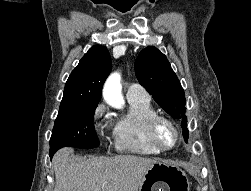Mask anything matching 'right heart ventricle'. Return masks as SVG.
Returning a JSON list of instances; mask_svg holds the SVG:
<instances>
[{"instance_id":"obj_1","label":"right heart ventricle","mask_w":251,"mask_h":191,"mask_svg":"<svg viewBox=\"0 0 251 191\" xmlns=\"http://www.w3.org/2000/svg\"><path fill=\"white\" fill-rule=\"evenodd\" d=\"M128 101V115L117 121L113 130L116 151L143 157L158 155L146 137V122L156 113L151 100L141 97Z\"/></svg>"}]
</instances>
